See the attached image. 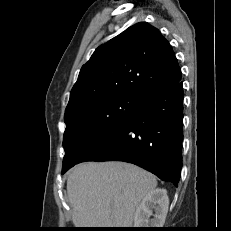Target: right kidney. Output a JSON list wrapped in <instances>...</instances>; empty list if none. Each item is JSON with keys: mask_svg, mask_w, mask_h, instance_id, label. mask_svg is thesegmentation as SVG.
Returning a JSON list of instances; mask_svg holds the SVG:
<instances>
[{"mask_svg": "<svg viewBox=\"0 0 231 231\" xmlns=\"http://www.w3.org/2000/svg\"><path fill=\"white\" fill-rule=\"evenodd\" d=\"M167 191L156 188L148 193L137 207L134 215L135 228H162L168 212ZM153 209L155 214L153 215ZM154 218L150 219V216Z\"/></svg>", "mask_w": 231, "mask_h": 231, "instance_id": "right-kidney-1", "label": "right kidney"}]
</instances>
